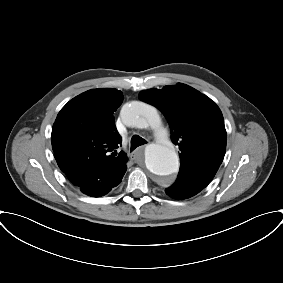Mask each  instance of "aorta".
<instances>
[{"instance_id":"aorta-1","label":"aorta","mask_w":283,"mask_h":283,"mask_svg":"<svg viewBox=\"0 0 283 283\" xmlns=\"http://www.w3.org/2000/svg\"><path fill=\"white\" fill-rule=\"evenodd\" d=\"M124 123L133 128H153L159 135L161 131V118L157 109L144 102H133L122 109ZM145 164L150 173L164 178L175 174L179 169V158L169 142L158 141L149 144L145 149Z\"/></svg>"}]
</instances>
